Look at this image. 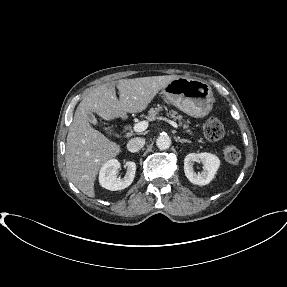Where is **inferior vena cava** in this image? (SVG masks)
Listing matches in <instances>:
<instances>
[{"label": "inferior vena cava", "mask_w": 287, "mask_h": 287, "mask_svg": "<svg viewBox=\"0 0 287 287\" xmlns=\"http://www.w3.org/2000/svg\"><path fill=\"white\" fill-rule=\"evenodd\" d=\"M144 144H145V139L141 137L132 138L127 143V149L128 151L135 153L141 150Z\"/></svg>", "instance_id": "1"}]
</instances>
